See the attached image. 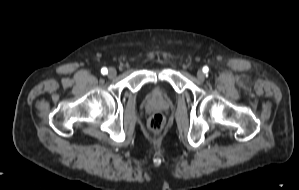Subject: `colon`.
<instances>
[{
    "mask_svg": "<svg viewBox=\"0 0 299 190\" xmlns=\"http://www.w3.org/2000/svg\"><path fill=\"white\" fill-rule=\"evenodd\" d=\"M164 117L160 113L153 114L148 120V127L153 133H159L164 126Z\"/></svg>",
    "mask_w": 299,
    "mask_h": 190,
    "instance_id": "obj_1",
    "label": "colon"
}]
</instances>
